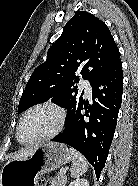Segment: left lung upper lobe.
<instances>
[{
	"label": "left lung upper lobe",
	"instance_id": "obj_1",
	"mask_svg": "<svg viewBox=\"0 0 138 186\" xmlns=\"http://www.w3.org/2000/svg\"><path fill=\"white\" fill-rule=\"evenodd\" d=\"M119 59V49L106 24L89 12L77 11L49 48L46 61L31 75L18 112L54 97L70 114L83 99L75 86L79 82L76 72L92 83Z\"/></svg>",
	"mask_w": 138,
	"mask_h": 186
}]
</instances>
